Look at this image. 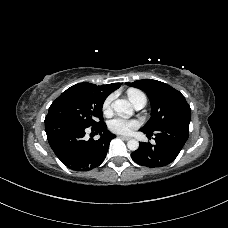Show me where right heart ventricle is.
I'll use <instances>...</instances> for the list:
<instances>
[{
  "label": "right heart ventricle",
  "instance_id": "obj_1",
  "mask_svg": "<svg viewBox=\"0 0 228 228\" xmlns=\"http://www.w3.org/2000/svg\"><path fill=\"white\" fill-rule=\"evenodd\" d=\"M137 94H142V92L136 90V89H129L128 90V97L129 99L131 100V98L134 96V95H137Z\"/></svg>",
  "mask_w": 228,
  "mask_h": 228
}]
</instances>
